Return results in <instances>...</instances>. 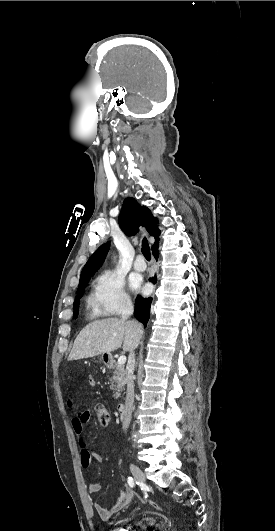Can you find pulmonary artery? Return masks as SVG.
Wrapping results in <instances>:
<instances>
[{
    "label": "pulmonary artery",
    "mask_w": 275,
    "mask_h": 531,
    "mask_svg": "<svg viewBox=\"0 0 275 531\" xmlns=\"http://www.w3.org/2000/svg\"><path fill=\"white\" fill-rule=\"evenodd\" d=\"M133 268L137 271H144L147 268V264L144 261V257L141 253L136 257V260L133 263Z\"/></svg>",
    "instance_id": "1"
}]
</instances>
